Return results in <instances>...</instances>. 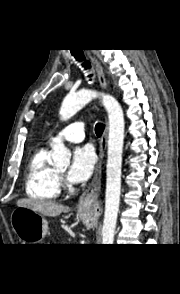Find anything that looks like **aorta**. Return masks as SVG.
<instances>
[{
    "label": "aorta",
    "instance_id": "obj_1",
    "mask_svg": "<svg viewBox=\"0 0 180 294\" xmlns=\"http://www.w3.org/2000/svg\"><path fill=\"white\" fill-rule=\"evenodd\" d=\"M100 97L108 113L109 134L106 165L105 213L102 227V244L111 245L117 223L120 204L122 151L124 143V115L118 101L111 95L93 90H80L67 95L60 108L62 120H68L94 98ZM71 152L62 141H55L52 147V160L56 167H68Z\"/></svg>",
    "mask_w": 180,
    "mask_h": 294
}]
</instances>
